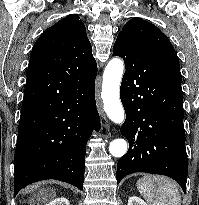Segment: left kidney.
<instances>
[{
    "mask_svg": "<svg viewBox=\"0 0 199 205\" xmlns=\"http://www.w3.org/2000/svg\"><path fill=\"white\" fill-rule=\"evenodd\" d=\"M128 205H148L142 200L141 198L137 196H131L128 199Z\"/></svg>",
    "mask_w": 199,
    "mask_h": 205,
    "instance_id": "5707ae66",
    "label": "left kidney"
}]
</instances>
